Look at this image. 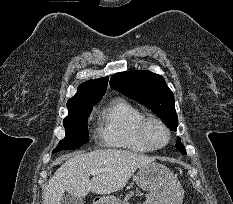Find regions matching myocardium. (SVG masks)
<instances>
[{"label":"myocardium","mask_w":233,"mask_h":204,"mask_svg":"<svg viewBox=\"0 0 233 204\" xmlns=\"http://www.w3.org/2000/svg\"><path fill=\"white\" fill-rule=\"evenodd\" d=\"M151 123L159 125L164 130L166 134V141L163 144L157 145L151 140L148 133V127ZM137 132L140 139L153 150L164 148L166 145H168L171 138V133L168 126L155 115H144L137 124Z\"/></svg>","instance_id":"1"}]
</instances>
